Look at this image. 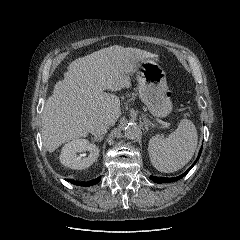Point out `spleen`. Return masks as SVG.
Segmentation results:
<instances>
[{
  "label": "spleen",
  "mask_w": 240,
  "mask_h": 240,
  "mask_svg": "<svg viewBox=\"0 0 240 240\" xmlns=\"http://www.w3.org/2000/svg\"><path fill=\"white\" fill-rule=\"evenodd\" d=\"M197 131L192 121L183 119L167 138L153 136L148 145L152 165L161 172H175L193 157L197 147Z\"/></svg>",
  "instance_id": "1"
}]
</instances>
